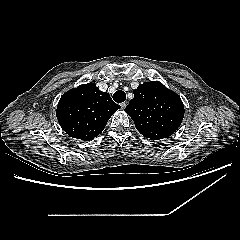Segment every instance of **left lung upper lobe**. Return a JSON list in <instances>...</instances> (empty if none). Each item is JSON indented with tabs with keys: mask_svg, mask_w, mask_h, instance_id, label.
<instances>
[{
	"mask_svg": "<svg viewBox=\"0 0 240 240\" xmlns=\"http://www.w3.org/2000/svg\"><path fill=\"white\" fill-rule=\"evenodd\" d=\"M125 112L132 118L136 129L151 140L171 136L184 117L180 97L158 81L140 84L134 90Z\"/></svg>",
	"mask_w": 240,
	"mask_h": 240,
	"instance_id": "1",
	"label": "left lung upper lobe"
}]
</instances>
